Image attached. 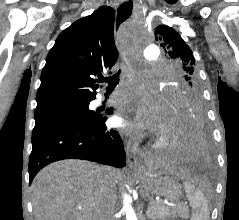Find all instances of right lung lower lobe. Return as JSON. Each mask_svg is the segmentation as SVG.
<instances>
[{
	"mask_svg": "<svg viewBox=\"0 0 239 220\" xmlns=\"http://www.w3.org/2000/svg\"><path fill=\"white\" fill-rule=\"evenodd\" d=\"M113 108L109 112L112 114ZM99 115L96 123L37 122L32 133L29 158V183L44 166L62 159H84L124 167L125 151L119 134L108 130Z\"/></svg>",
	"mask_w": 239,
	"mask_h": 220,
	"instance_id": "1",
	"label": "right lung lower lobe"
}]
</instances>
